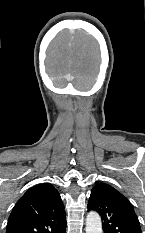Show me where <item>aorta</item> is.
<instances>
[{"mask_svg":"<svg viewBox=\"0 0 145 233\" xmlns=\"http://www.w3.org/2000/svg\"><path fill=\"white\" fill-rule=\"evenodd\" d=\"M86 233H102L101 217L96 212H89L86 218Z\"/></svg>","mask_w":145,"mask_h":233,"instance_id":"aorta-1","label":"aorta"}]
</instances>
